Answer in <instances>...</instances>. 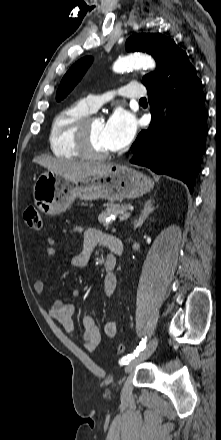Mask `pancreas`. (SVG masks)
I'll return each mask as SVG.
<instances>
[{"label": "pancreas", "mask_w": 221, "mask_h": 440, "mask_svg": "<svg viewBox=\"0 0 221 440\" xmlns=\"http://www.w3.org/2000/svg\"><path fill=\"white\" fill-rule=\"evenodd\" d=\"M130 209V205H119V204H109L105 211L98 215V221L103 226H108L109 223L106 221V218L110 215H115L117 217H122L124 213H126Z\"/></svg>", "instance_id": "1"}]
</instances>
